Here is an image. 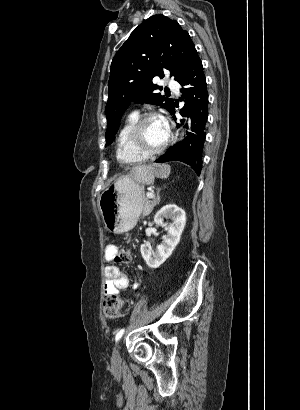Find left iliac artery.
<instances>
[{"mask_svg":"<svg viewBox=\"0 0 300 410\" xmlns=\"http://www.w3.org/2000/svg\"><path fill=\"white\" fill-rule=\"evenodd\" d=\"M124 331H125V329L123 328V329H121L117 332V334L115 336V341L116 342L122 337V335L124 334Z\"/></svg>","mask_w":300,"mask_h":410,"instance_id":"obj_1","label":"left iliac artery"}]
</instances>
